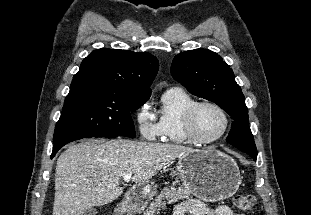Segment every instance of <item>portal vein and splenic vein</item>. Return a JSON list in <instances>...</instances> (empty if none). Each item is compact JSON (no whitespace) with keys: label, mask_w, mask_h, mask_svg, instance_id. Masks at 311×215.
Instances as JSON below:
<instances>
[{"label":"portal vein and splenic vein","mask_w":311,"mask_h":215,"mask_svg":"<svg viewBox=\"0 0 311 215\" xmlns=\"http://www.w3.org/2000/svg\"><path fill=\"white\" fill-rule=\"evenodd\" d=\"M131 176H132V173H130V172L129 173H125L123 175V181L128 183L130 181V179H131Z\"/></svg>","instance_id":"portal-vein-and-splenic-vein-1"}]
</instances>
